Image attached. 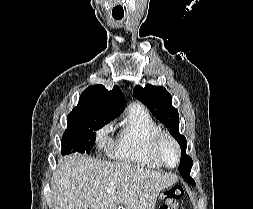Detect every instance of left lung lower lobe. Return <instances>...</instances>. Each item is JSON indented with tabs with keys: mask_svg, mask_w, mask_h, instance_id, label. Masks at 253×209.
<instances>
[{
	"mask_svg": "<svg viewBox=\"0 0 253 209\" xmlns=\"http://www.w3.org/2000/svg\"><path fill=\"white\" fill-rule=\"evenodd\" d=\"M188 183H190V184H195V182H194V180L192 179V180H190Z\"/></svg>",
	"mask_w": 253,
	"mask_h": 209,
	"instance_id": "0a47b994",
	"label": "left lung lower lobe"
}]
</instances>
